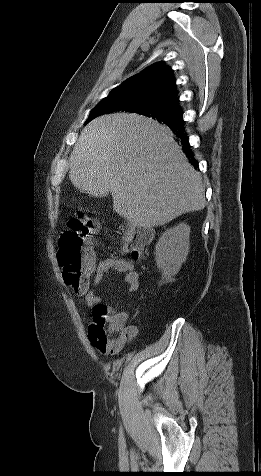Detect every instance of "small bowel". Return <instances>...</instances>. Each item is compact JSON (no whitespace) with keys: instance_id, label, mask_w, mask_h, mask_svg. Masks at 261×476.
Here are the masks:
<instances>
[{"instance_id":"small-bowel-1","label":"small bowel","mask_w":261,"mask_h":476,"mask_svg":"<svg viewBox=\"0 0 261 476\" xmlns=\"http://www.w3.org/2000/svg\"><path fill=\"white\" fill-rule=\"evenodd\" d=\"M92 271L94 273L93 281L88 284L85 289L76 292L84 297L85 305L93 309V311L98 305L102 304L101 297L97 294V291L101 287L105 275L110 271L123 274L128 292H134L139 287V276L133 263L123 257L111 256L100 260L98 263L93 261ZM127 320L128 314L126 312L115 313L109 319L111 328L122 331L125 334V343L131 339L137 331L135 326H126Z\"/></svg>"}]
</instances>
